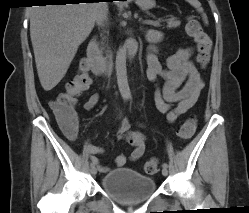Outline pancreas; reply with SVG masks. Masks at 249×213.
<instances>
[{"label": "pancreas", "instance_id": "obj_1", "mask_svg": "<svg viewBox=\"0 0 249 213\" xmlns=\"http://www.w3.org/2000/svg\"><path fill=\"white\" fill-rule=\"evenodd\" d=\"M167 23H168V25H167L168 28H176V27L180 26V21L176 20L175 18L169 19ZM155 24L156 25H154V26H158L159 25L158 22H155Z\"/></svg>", "mask_w": 249, "mask_h": 213}]
</instances>
